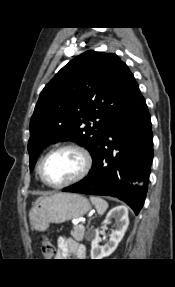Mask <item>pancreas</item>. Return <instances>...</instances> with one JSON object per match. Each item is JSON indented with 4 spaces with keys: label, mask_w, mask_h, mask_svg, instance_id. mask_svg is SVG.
<instances>
[{
    "label": "pancreas",
    "mask_w": 175,
    "mask_h": 287,
    "mask_svg": "<svg viewBox=\"0 0 175 287\" xmlns=\"http://www.w3.org/2000/svg\"><path fill=\"white\" fill-rule=\"evenodd\" d=\"M85 228L83 225H75L71 231V235L77 241H82L84 238Z\"/></svg>",
    "instance_id": "1"
}]
</instances>
